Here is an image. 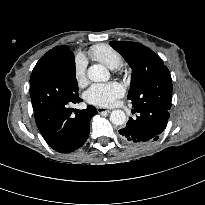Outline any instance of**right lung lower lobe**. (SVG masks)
Here are the masks:
<instances>
[{"instance_id": "right-lung-lower-lobe-1", "label": "right lung lower lobe", "mask_w": 205, "mask_h": 205, "mask_svg": "<svg viewBox=\"0 0 205 205\" xmlns=\"http://www.w3.org/2000/svg\"><path fill=\"white\" fill-rule=\"evenodd\" d=\"M72 60L75 61L74 55L69 53L56 67L30 81L37 127L48 145L60 153L72 152L85 143L90 120L97 114L92 105L84 110L68 107L70 103L82 101L78 96L76 74L67 66Z\"/></svg>"}]
</instances>
